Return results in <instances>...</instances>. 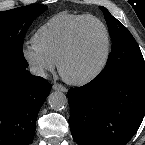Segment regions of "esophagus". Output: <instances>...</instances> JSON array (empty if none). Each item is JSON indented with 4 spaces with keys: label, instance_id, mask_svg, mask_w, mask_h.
Instances as JSON below:
<instances>
[{
    "label": "esophagus",
    "instance_id": "esophagus-1",
    "mask_svg": "<svg viewBox=\"0 0 145 145\" xmlns=\"http://www.w3.org/2000/svg\"><path fill=\"white\" fill-rule=\"evenodd\" d=\"M52 88L55 91L67 92V88L64 87L63 85L59 84V83L53 84Z\"/></svg>",
    "mask_w": 145,
    "mask_h": 145
}]
</instances>
